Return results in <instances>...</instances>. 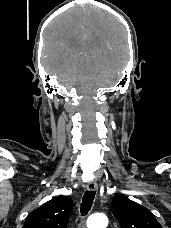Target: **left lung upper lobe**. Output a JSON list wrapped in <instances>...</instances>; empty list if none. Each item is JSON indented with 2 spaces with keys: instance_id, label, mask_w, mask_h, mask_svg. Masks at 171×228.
Wrapping results in <instances>:
<instances>
[{
  "instance_id": "1",
  "label": "left lung upper lobe",
  "mask_w": 171,
  "mask_h": 228,
  "mask_svg": "<svg viewBox=\"0 0 171 228\" xmlns=\"http://www.w3.org/2000/svg\"><path fill=\"white\" fill-rule=\"evenodd\" d=\"M111 211L121 228H162L147 208L123 195H116L112 199Z\"/></svg>"
}]
</instances>
